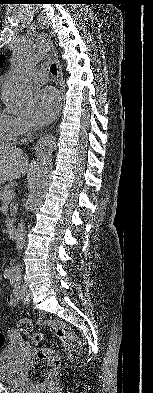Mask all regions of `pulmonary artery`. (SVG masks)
<instances>
[{"instance_id":"obj_1","label":"pulmonary artery","mask_w":153,"mask_h":393,"mask_svg":"<svg viewBox=\"0 0 153 393\" xmlns=\"http://www.w3.org/2000/svg\"><path fill=\"white\" fill-rule=\"evenodd\" d=\"M30 78L35 84H44L47 82V74L45 73L34 72L30 75Z\"/></svg>"}]
</instances>
